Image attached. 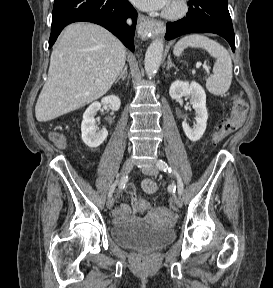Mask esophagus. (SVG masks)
Returning a JSON list of instances; mask_svg holds the SVG:
<instances>
[{
    "label": "esophagus",
    "instance_id": "obj_1",
    "mask_svg": "<svg viewBox=\"0 0 273 288\" xmlns=\"http://www.w3.org/2000/svg\"><path fill=\"white\" fill-rule=\"evenodd\" d=\"M138 32L143 37H147V34L149 32L155 35H161L165 32V25L161 21L150 19L149 17L143 14H139Z\"/></svg>",
    "mask_w": 273,
    "mask_h": 288
}]
</instances>
